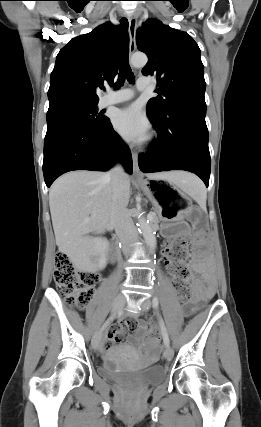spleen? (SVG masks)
<instances>
[{
    "mask_svg": "<svg viewBox=\"0 0 261 427\" xmlns=\"http://www.w3.org/2000/svg\"><path fill=\"white\" fill-rule=\"evenodd\" d=\"M181 188L201 206H206V188L198 178L191 174H187V176L183 179V185Z\"/></svg>",
    "mask_w": 261,
    "mask_h": 427,
    "instance_id": "1",
    "label": "spleen"
}]
</instances>
